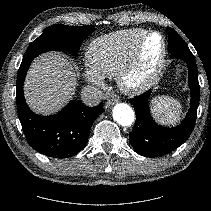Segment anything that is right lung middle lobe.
I'll return each mask as SVG.
<instances>
[{
	"label": "right lung middle lobe",
	"mask_w": 211,
	"mask_h": 211,
	"mask_svg": "<svg viewBox=\"0 0 211 211\" xmlns=\"http://www.w3.org/2000/svg\"><path fill=\"white\" fill-rule=\"evenodd\" d=\"M95 30L93 26H49L28 47L22 61L32 60L41 53L51 50H66L76 55L83 40Z\"/></svg>",
	"instance_id": "right-lung-middle-lobe-1"
}]
</instances>
